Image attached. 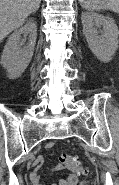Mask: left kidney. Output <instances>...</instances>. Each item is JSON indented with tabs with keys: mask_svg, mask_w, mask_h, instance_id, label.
Wrapping results in <instances>:
<instances>
[{
	"mask_svg": "<svg viewBox=\"0 0 119 185\" xmlns=\"http://www.w3.org/2000/svg\"><path fill=\"white\" fill-rule=\"evenodd\" d=\"M83 34L92 53L102 62H109L118 48L119 29L114 20L94 12L81 15ZM102 27L101 35L99 30Z\"/></svg>",
	"mask_w": 119,
	"mask_h": 185,
	"instance_id": "left-kidney-1",
	"label": "left kidney"
}]
</instances>
